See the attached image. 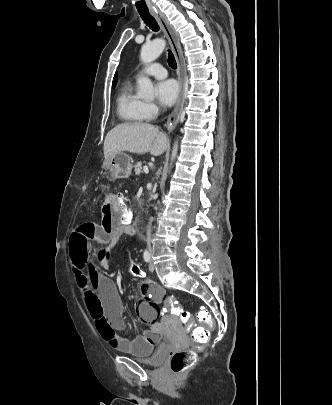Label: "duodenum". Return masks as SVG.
<instances>
[{"label":"duodenum","instance_id":"1","mask_svg":"<svg viewBox=\"0 0 332 405\" xmlns=\"http://www.w3.org/2000/svg\"><path fill=\"white\" fill-rule=\"evenodd\" d=\"M139 223L137 221H132L127 225V230L129 233H134L138 228Z\"/></svg>","mask_w":332,"mask_h":405}]
</instances>
